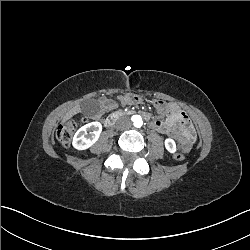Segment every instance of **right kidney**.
Listing matches in <instances>:
<instances>
[{"label": "right kidney", "instance_id": "ca27d5eb", "mask_svg": "<svg viewBox=\"0 0 250 250\" xmlns=\"http://www.w3.org/2000/svg\"><path fill=\"white\" fill-rule=\"evenodd\" d=\"M101 131L102 125L97 121L82 126L73 137V147L78 150L89 148L98 140Z\"/></svg>", "mask_w": 250, "mask_h": 250}]
</instances>
